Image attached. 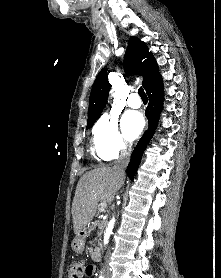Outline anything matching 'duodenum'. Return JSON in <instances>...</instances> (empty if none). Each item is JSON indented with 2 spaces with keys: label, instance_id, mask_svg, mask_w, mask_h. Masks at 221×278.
<instances>
[{
  "label": "duodenum",
  "instance_id": "1",
  "mask_svg": "<svg viewBox=\"0 0 221 278\" xmlns=\"http://www.w3.org/2000/svg\"><path fill=\"white\" fill-rule=\"evenodd\" d=\"M91 256H92V259L95 262H99L100 261L101 255H100V252H99V250L97 248H93L92 249Z\"/></svg>",
  "mask_w": 221,
  "mask_h": 278
}]
</instances>
